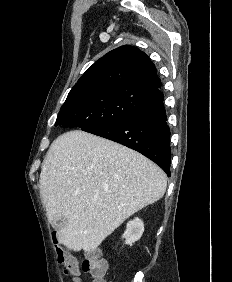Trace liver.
<instances>
[{"label": "liver", "instance_id": "obj_1", "mask_svg": "<svg viewBox=\"0 0 232 282\" xmlns=\"http://www.w3.org/2000/svg\"><path fill=\"white\" fill-rule=\"evenodd\" d=\"M39 181L57 240L69 250L86 252L162 198L167 187L163 170L142 154L81 130L54 140ZM60 218L65 225L57 228Z\"/></svg>", "mask_w": 232, "mask_h": 282}]
</instances>
